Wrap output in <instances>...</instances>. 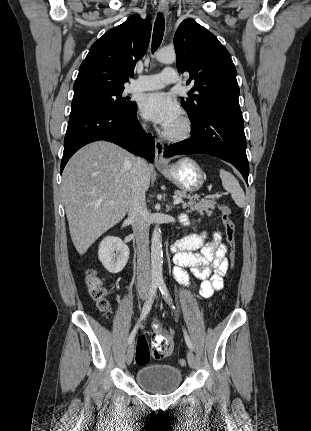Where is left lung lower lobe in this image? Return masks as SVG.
Segmentation results:
<instances>
[{
  "instance_id": "obj_1",
  "label": "left lung lower lobe",
  "mask_w": 311,
  "mask_h": 431,
  "mask_svg": "<svg viewBox=\"0 0 311 431\" xmlns=\"http://www.w3.org/2000/svg\"><path fill=\"white\" fill-rule=\"evenodd\" d=\"M191 123L192 138L169 145L165 156L209 154L234 165L248 183L249 164L240 107H216Z\"/></svg>"
}]
</instances>
